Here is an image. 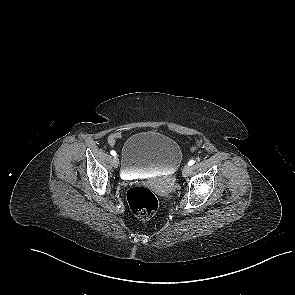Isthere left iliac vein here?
Instances as JSON below:
<instances>
[{
    "instance_id": "4c4485c4",
    "label": "left iliac vein",
    "mask_w": 295,
    "mask_h": 295,
    "mask_svg": "<svg viewBox=\"0 0 295 295\" xmlns=\"http://www.w3.org/2000/svg\"><path fill=\"white\" fill-rule=\"evenodd\" d=\"M191 171V168L189 165L184 166L183 170H182V174L184 177H187L189 175Z\"/></svg>"
}]
</instances>
